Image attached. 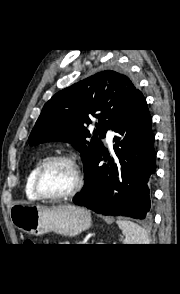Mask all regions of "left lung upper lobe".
Listing matches in <instances>:
<instances>
[{"mask_svg":"<svg viewBox=\"0 0 180 294\" xmlns=\"http://www.w3.org/2000/svg\"><path fill=\"white\" fill-rule=\"evenodd\" d=\"M132 80L113 70L99 72L56 93L43 107L29 138L30 145L64 141L81 152L84 173L102 147L106 131L128 108L136 93ZM99 119L91 141L86 125Z\"/></svg>","mask_w":180,"mask_h":294,"instance_id":"5c2ea615","label":"left lung upper lobe"}]
</instances>
